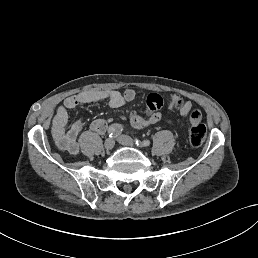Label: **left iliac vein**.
Here are the masks:
<instances>
[{"label": "left iliac vein", "instance_id": "obj_1", "mask_svg": "<svg viewBox=\"0 0 258 258\" xmlns=\"http://www.w3.org/2000/svg\"><path fill=\"white\" fill-rule=\"evenodd\" d=\"M116 139H117L118 142H120V143H121L122 145H124V146H125V145H127V146H128V145H129V146H130V145H135V140H133L132 138H130V137L127 136V135L125 136V135H123V134H122V135L120 134V135L117 136Z\"/></svg>", "mask_w": 258, "mask_h": 258}]
</instances>
